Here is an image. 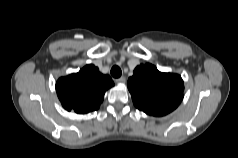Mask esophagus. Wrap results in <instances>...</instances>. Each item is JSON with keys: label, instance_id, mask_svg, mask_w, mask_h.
Wrapping results in <instances>:
<instances>
[{"label": "esophagus", "instance_id": "1", "mask_svg": "<svg viewBox=\"0 0 238 158\" xmlns=\"http://www.w3.org/2000/svg\"><path fill=\"white\" fill-rule=\"evenodd\" d=\"M125 81H126L125 77H120L115 79V82L119 84L125 83Z\"/></svg>", "mask_w": 238, "mask_h": 158}]
</instances>
